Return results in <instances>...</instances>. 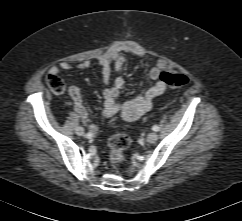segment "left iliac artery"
Returning <instances> with one entry per match:
<instances>
[{
  "mask_svg": "<svg viewBox=\"0 0 242 221\" xmlns=\"http://www.w3.org/2000/svg\"><path fill=\"white\" fill-rule=\"evenodd\" d=\"M152 129H153V131H159V127L158 126H156V125H154L153 127H152Z\"/></svg>",
  "mask_w": 242,
  "mask_h": 221,
  "instance_id": "left-iliac-artery-1",
  "label": "left iliac artery"
}]
</instances>
